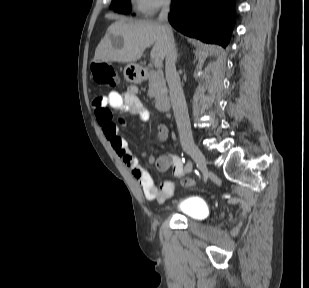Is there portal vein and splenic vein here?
Segmentation results:
<instances>
[{"label":"portal vein and splenic vein","mask_w":309,"mask_h":288,"mask_svg":"<svg viewBox=\"0 0 309 288\" xmlns=\"http://www.w3.org/2000/svg\"><path fill=\"white\" fill-rule=\"evenodd\" d=\"M153 63L156 68H159L162 66V60L160 58H155Z\"/></svg>","instance_id":"obj_1"}]
</instances>
